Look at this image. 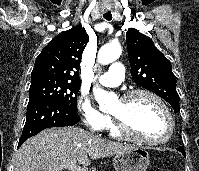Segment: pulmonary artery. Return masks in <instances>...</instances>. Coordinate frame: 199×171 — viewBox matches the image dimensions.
Segmentation results:
<instances>
[{
    "instance_id": "obj_1",
    "label": "pulmonary artery",
    "mask_w": 199,
    "mask_h": 171,
    "mask_svg": "<svg viewBox=\"0 0 199 171\" xmlns=\"http://www.w3.org/2000/svg\"><path fill=\"white\" fill-rule=\"evenodd\" d=\"M124 78V67L119 62H114L110 65L107 72L97 77L98 82L107 87L118 86Z\"/></svg>"
}]
</instances>
